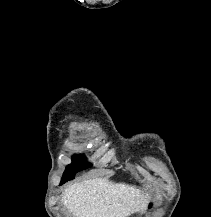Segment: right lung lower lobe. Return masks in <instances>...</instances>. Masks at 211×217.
<instances>
[{
	"label": "right lung lower lobe",
	"instance_id": "1",
	"mask_svg": "<svg viewBox=\"0 0 211 217\" xmlns=\"http://www.w3.org/2000/svg\"><path fill=\"white\" fill-rule=\"evenodd\" d=\"M63 183H65V182L61 181V184H63Z\"/></svg>",
	"mask_w": 211,
	"mask_h": 217
}]
</instances>
